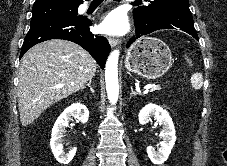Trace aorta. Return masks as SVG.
<instances>
[{
	"mask_svg": "<svg viewBox=\"0 0 227 166\" xmlns=\"http://www.w3.org/2000/svg\"><path fill=\"white\" fill-rule=\"evenodd\" d=\"M118 60L119 50H114L109 55L105 66L107 96L110 103L112 104H115L117 102L119 96Z\"/></svg>",
	"mask_w": 227,
	"mask_h": 166,
	"instance_id": "1",
	"label": "aorta"
}]
</instances>
